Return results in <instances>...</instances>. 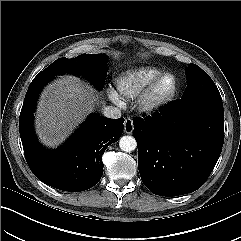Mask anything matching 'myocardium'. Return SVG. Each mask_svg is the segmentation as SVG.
<instances>
[{"mask_svg":"<svg viewBox=\"0 0 241 241\" xmlns=\"http://www.w3.org/2000/svg\"><path fill=\"white\" fill-rule=\"evenodd\" d=\"M169 78L172 86L169 92L163 95L157 94L160 83ZM178 90L176 77L171 73H161L141 93L138 99V108L147 114H155L166 108L175 98Z\"/></svg>","mask_w":241,"mask_h":241,"instance_id":"f54148a6","label":"myocardium"}]
</instances>
